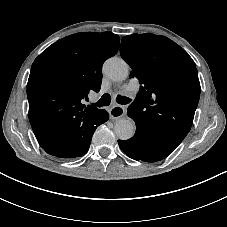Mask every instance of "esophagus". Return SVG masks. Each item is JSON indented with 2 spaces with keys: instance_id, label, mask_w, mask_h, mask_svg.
<instances>
[{
  "instance_id": "1",
  "label": "esophagus",
  "mask_w": 227,
  "mask_h": 227,
  "mask_svg": "<svg viewBox=\"0 0 227 227\" xmlns=\"http://www.w3.org/2000/svg\"><path fill=\"white\" fill-rule=\"evenodd\" d=\"M125 108L121 105H115L109 110V116L111 120H116L124 116Z\"/></svg>"
}]
</instances>
